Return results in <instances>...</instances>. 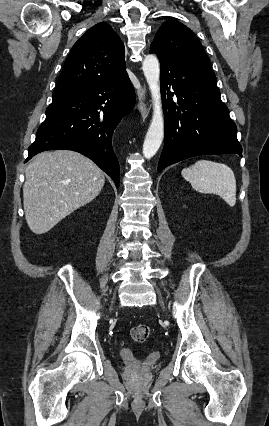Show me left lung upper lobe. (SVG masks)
Returning <instances> with one entry per match:
<instances>
[{
	"label": "left lung upper lobe",
	"instance_id": "obj_1",
	"mask_svg": "<svg viewBox=\"0 0 269 426\" xmlns=\"http://www.w3.org/2000/svg\"><path fill=\"white\" fill-rule=\"evenodd\" d=\"M150 52L215 75L196 35L177 20L169 19L161 25L150 46Z\"/></svg>",
	"mask_w": 269,
	"mask_h": 426
}]
</instances>
